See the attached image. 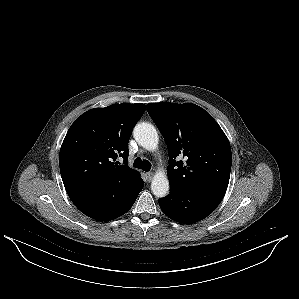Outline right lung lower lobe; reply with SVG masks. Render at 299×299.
Here are the masks:
<instances>
[{
    "instance_id": "1",
    "label": "right lung lower lobe",
    "mask_w": 299,
    "mask_h": 299,
    "mask_svg": "<svg viewBox=\"0 0 299 299\" xmlns=\"http://www.w3.org/2000/svg\"><path fill=\"white\" fill-rule=\"evenodd\" d=\"M144 182L132 192L123 182L102 184L68 190L74 205L85 215L98 221H110L125 214L134 204Z\"/></svg>"
}]
</instances>
